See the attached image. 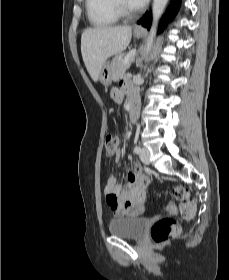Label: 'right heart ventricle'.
<instances>
[{
	"label": "right heart ventricle",
	"instance_id": "e07e8e85",
	"mask_svg": "<svg viewBox=\"0 0 229 280\" xmlns=\"http://www.w3.org/2000/svg\"><path fill=\"white\" fill-rule=\"evenodd\" d=\"M86 15L89 23L97 28L114 26L119 16L112 8L111 0H86Z\"/></svg>",
	"mask_w": 229,
	"mask_h": 280
}]
</instances>
